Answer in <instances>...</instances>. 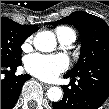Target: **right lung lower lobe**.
I'll return each mask as SVG.
<instances>
[{
	"mask_svg": "<svg viewBox=\"0 0 109 109\" xmlns=\"http://www.w3.org/2000/svg\"><path fill=\"white\" fill-rule=\"evenodd\" d=\"M20 65L21 61L8 65L1 63V74L5 73V78H1V109H12L14 107L23 84L31 78L28 74L15 76L14 72Z\"/></svg>",
	"mask_w": 109,
	"mask_h": 109,
	"instance_id": "98d812e1",
	"label": "right lung lower lobe"
}]
</instances>
